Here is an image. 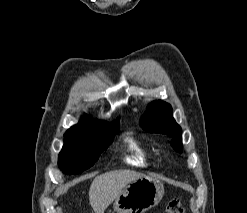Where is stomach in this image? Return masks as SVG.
I'll return each instance as SVG.
<instances>
[{
  "instance_id": "stomach-1",
  "label": "stomach",
  "mask_w": 247,
  "mask_h": 213,
  "mask_svg": "<svg viewBox=\"0 0 247 213\" xmlns=\"http://www.w3.org/2000/svg\"><path fill=\"white\" fill-rule=\"evenodd\" d=\"M164 195V186L156 178L145 176L129 183L115 199L116 213H145L156 206Z\"/></svg>"
}]
</instances>
